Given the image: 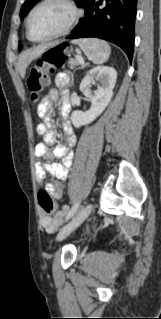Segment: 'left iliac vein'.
Here are the masks:
<instances>
[{
	"label": "left iliac vein",
	"instance_id": "1",
	"mask_svg": "<svg viewBox=\"0 0 161 319\" xmlns=\"http://www.w3.org/2000/svg\"><path fill=\"white\" fill-rule=\"evenodd\" d=\"M92 211V204H88L78 214H76L72 220L66 224L58 233L57 240L61 241L72 233L78 226H80L90 215Z\"/></svg>",
	"mask_w": 161,
	"mask_h": 319
}]
</instances>
